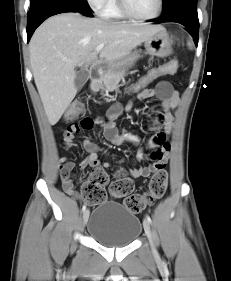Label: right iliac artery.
Instances as JSON below:
<instances>
[{
  "label": "right iliac artery",
  "mask_w": 231,
  "mask_h": 281,
  "mask_svg": "<svg viewBox=\"0 0 231 281\" xmlns=\"http://www.w3.org/2000/svg\"><path fill=\"white\" fill-rule=\"evenodd\" d=\"M86 210V205H83L82 211L84 212Z\"/></svg>",
  "instance_id": "obj_1"
}]
</instances>
